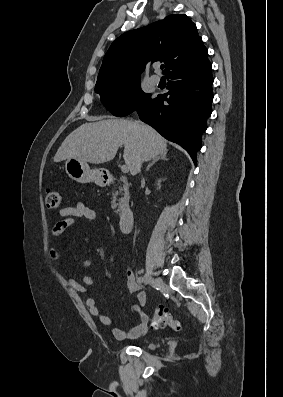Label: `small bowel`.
<instances>
[{
    "label": "small bowel",
    "instance_id": "c3829d8e",
    "mask_svg": "<svg viewBox=\"0 0 283 397\" xmlns=\"http://www.w3.org/2000/svg\"><path fill=\"white\" fill-rule=\"evenodd\" d=\"M58 216L60 217V219L53 225L51 229V235L54 238L62 235L71 225L74 224L75 219L85 218L88 220H95L97 214L92 208L88 207L84 202L77 201L72 206H66L61 208L58 211ZM48 255L50 261L53 263L54 266L60 265L62 256L57 248L55 247L50 248L48 251ZM91 265H92V261L89 259H86L82 262V267L84 268H89L91 267ZM95 282H96L95 279L91 276H83L80 281L74 278H70L68 280L69 285L74 290L80 293L87 292V288L89 286L94 285ZM126 286L129 293L131 294L137 293V303H135L132 306V311L139 315L140 322L129 331H125L124 329L119 327L113 328L112 330L113 335L118 340L136 339L140 337L145 332L146 325L148 322V317L143 311V308L146 304L147 296L145 292L140 291L141 287L137 283L135 274L131 269L126 270ZM85 305L90 315L97 318L103 325L105 326L112 325L113 323L112 319L100 311L95 298L93 297L86 298Z\"/></svg>",
    "mask_w": 283,
    "mask_h": 397
}]
</instances>
